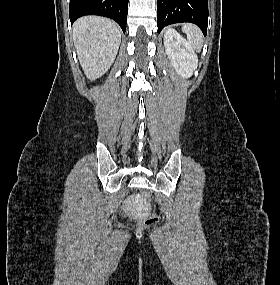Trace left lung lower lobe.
Returning <instances> with one entry per match:
<instances>
[{
  "label": "left lung lower lobe",
  "instance_id": "1",
  "mask_svg": "<svg viewBox=\"0 0 280 285\" xmlns=\"http://www.w3.org/2000/svg\"><path fill=\"white\" fill-rule=\"evenodd\" d=\"M158 32L170 24L190 22L207 34L208 0H157Z\"/></svg>",
  "mask_w": 280,
  "mask_h": 285
}]
</instances>
